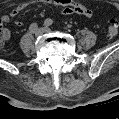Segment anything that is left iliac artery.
<instances>
[{
	"instance_id": "obj_1",
	"label": "left iliac artery",
	"mask_w": 119,
	"mask_h": 119,
	"mask_svg": "<svg viewBox=\"0 0 119 119\" xmlns=\"http://www.w3.org/2000/svg\"><path fill=\"white\" fill-rule=\"evenodd\" d=\"M44 24H45L46 26H51V25L53 24V20L50 19V18H48V19L45 20Z\"/></svg>"
}]
</instances>
